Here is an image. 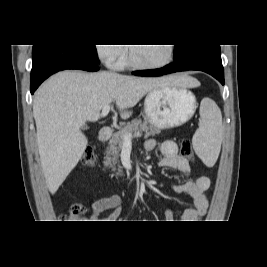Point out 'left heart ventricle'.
Returning a JSON list of instances; mask_svg holds the SVG:
<instances>
[{"mask_svg":"<svg viewBox=\"0 0 267 267\" xmlns=\"http://www.w3.org/2000/svg\"><path fill=\"white\" fill-rule=\"evenodd\" d=\"M132 52L135 60L143 64H159L168 57L169 50L166 44L156 46H133Z\"/></svg>","mask_w":267,"mask_h":267,"instance_id":"obj_1","label":"left heart ventricle"}]
</instances>
